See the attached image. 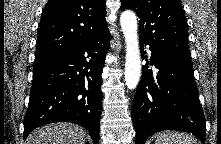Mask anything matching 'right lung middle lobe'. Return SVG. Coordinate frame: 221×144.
<instances>
[{"label":"right lung middle lobe","instance_id":"right-lung-middle-lobe-1","mask_svg":"<svg viewBox=\"0 0 221 144\" xmlns=\"http://www.w3.org/2000/svg\"><path fill=\"white\" fill-rule=\"evenodd\" d=\"M55 56L53 55H36L35 56V62L34 66L42 64L46 61H49L50 59L54 58Z\"/></svg>","mask_w":221,"mask_h":144}]
</instances>
